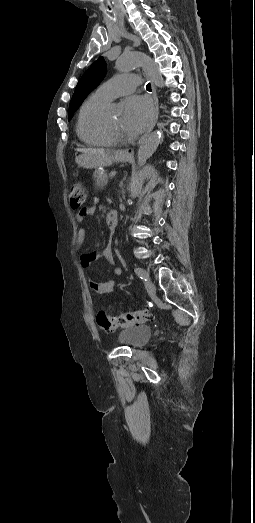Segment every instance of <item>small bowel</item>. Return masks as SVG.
<instances>
[{
	"instance_id": "c3829d8e",
	"label": "small bowel",
	"mask_w": 255,
	"mask_h": 523,
	"mask_svg": "<svg viewBox=\"0 0 255 523\" xmlns=\"http://www.w3.org/2000/svg\"><path fill=\"white\" fill-rule=\"evenodd\" d=\"M94 213L93 207H84L78 211L76 214V220L79 223H82L84 219ZM86 239V229L80 228L77 232V238H76V250L79 254V261L82 267L89 268L93 261L98 260L100 258L105 259L110 264H115V259L112 252V245L111 242L108 243L107 247L105 248L104 252L102 254L98 253H89L84 251L83 246ZM122 270L120 268L114 269V275L119 276L121 275ZM89 285L90 287L96 291L99 294H107L111 292L115 286V280L110 279L104 283H98L96 282L92 277H89Z\"/></svg>"
}]
</instances>
